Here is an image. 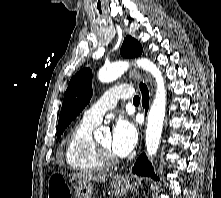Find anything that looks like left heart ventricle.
<instances>
[{
  "label": "left heart ventricle",
  "instance_id": "obj_1",
  "mask_svg": "<svg viewBox=\"0 0 221 198\" xmlns=\"http://www.w3.org/2000/svg\"><path fill=\"white\" fill-rule=\"evenodd\" d=\"M98 142L111 151V135L109 133L105 134Z\"/></svg>",
  "mask_w": 221,
  "mask_h": 198
}]
</instances>
